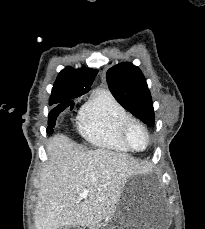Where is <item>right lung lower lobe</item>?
<instances>
[{"mask_svg": "<svg viewBox=\"0 0 205 229\" xmlns=\"http://www.w3.org/2000/svg\"><path fill=\"white\" fill-rule=\"evenodd\" d=\"M67 107H70L73 109L74 102L72 100H69L64 103H60L57 107H55L48 115V127H47V133L51 134L54 130L53 127L55 126L56 118L57 116Z\"/></svg>", "mask_w": 205, "mask_h": 229, "instance_id": "1", "label": "right lung lower lobe"}]
</instances>
